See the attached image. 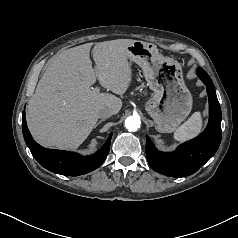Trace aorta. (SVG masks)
Instances as JSON below:
<instances>
[{"label": "aorta", "instance_id": "obj_1", "mask_svg": "<svg viewBox=\"0 0 238 238\" xmlns=\"http://www.w3.org/2000/svg\"><path fill=\"white\" fill-rule=\"evenodd\" d=\"M141 121L138 116H129L125 119V127L130 132H135L140 128Z\"/></svg>", "mask_w": 238, "mask_h": 238}]
</instances>
